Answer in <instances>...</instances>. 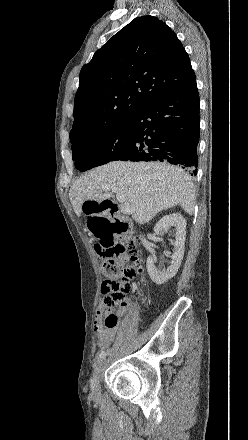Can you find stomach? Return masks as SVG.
<instances>
[{
	"label": "stomach",
	"mask_w": 248,
	"mask_h": 440,
	"mask_svg": "<svg viewBox=\"0 0 248 440\" xmlns=\"http://www.w3.org/2000/svg\"><path fill=\"white\" fill-rule=\"evenodd\" d=\"M106 216L104 204L84 205L83 218H86V230L91 232V237H95L96 241H117L116 228H113L111 218Z\"/></svg>",
	"instance_id": "stomach-1"
}]
</instances>
